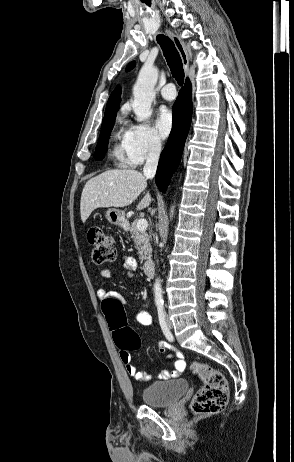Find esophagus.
Here are the masks:
<instances>
[{
    "label": "esophagus",
    "mask_w": 294,
    "mask_h": 462,
    "mask_svg": "<svg viewBox=\"0 0 294 462\" xmlns=\"http://www.w3.org/2000/svg\"><path fill=\"white\" fill-rule=\"evenodd\" d=\"M171 40L173 41L177 51L179 52V55L182 60L183 68L185 70V73H188L189 70V50L184 41L181 40L180 37L177 35L173 34L172 32L168 31L167 32Z\"/></svg>",
    "instance_id": "34e87169"
}]
</instances>
